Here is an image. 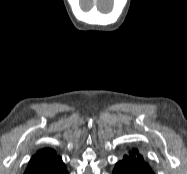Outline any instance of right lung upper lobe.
<instances>
[{
	"instance_id": "obj_1",
	"label": "right lung upper lobe",
	"mask_w": 187,
	"mask_h": 174,
	"mask_svg": "<svg viewBox=\"0 0 187 174\" xmlns=\"http://www.w3.org/2000/svg\"><path fill=\"white\" fill-rule=\"evenodd\" d=\"M65 165L52 149L38 151L30 160L24 174H58Z\"/></svg>"
}]
</instances>
